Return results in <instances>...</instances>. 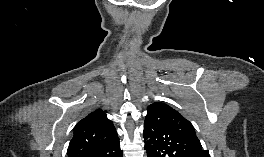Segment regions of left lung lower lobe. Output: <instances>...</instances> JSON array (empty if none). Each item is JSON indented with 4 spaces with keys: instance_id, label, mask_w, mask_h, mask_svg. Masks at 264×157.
Here are the masks:
<instances>
[{
    "instance_id": "0a47b994",
    "label": "left lung lower lobe",
    "mask_w": 264,
    "mask_h": 157,
    "mask_svg": "<svg viewBox=\"0 0 264 157\" xmlns=\"http://www.w3.org/2000/svg\"><path fill=\"white\" fill-rule=\"evenodd\" d=\"M145 150H147L148 157H158V154L155 152V150L148 148L145 146Z\"/></svg>"
}]
</instances>
